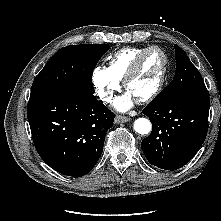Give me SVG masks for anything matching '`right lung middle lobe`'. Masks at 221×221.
<instances>
[{"instance_id":"dd1d6c3e","label":"right lung middle lobe","mask_w":221,"mask_h":221,"mask_svg":"<svg viewBox=\"0 0 221 221\" xmlns=\"http://www.w3.org/2000/svg\"><path fill=\"white\" fill-rule=\"evenodd\" d=\"M106 44L72 45L57 51L34 79L30 99L68 92L94 93L93 70Z\"/></svg>"}]
</instances>
